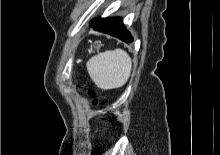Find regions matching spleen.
<instances>
[{"instance_id":"obj_1","label":"spleen","mask_w":220,"mask_h":155,"mask_svg":"<svg viewBox=\"0 0 220 155\" xmlns=\"http://www.w3.org/2000/svg\"><path fill=\"white\" fill-rule=\"evenodd\" d=\"M86 65L92 81L103 90L122 87L128 81L132 68L130 56L122 49L99 53Z\"/></svg>"}]
</instances>
